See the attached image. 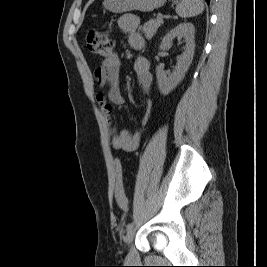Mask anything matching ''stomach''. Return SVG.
<instances>
[{
    "label": "stomach",
    "mask_w": 267,
    "mask_h": 267,
    "mask_svg": "<svg viewBox=\"0 0 267 267\" xmlns=\"http://www.w3.org/2000/svg\"><path fill=\"white\" fill-rule=\"evenodd\" d=\"M167 0H104L103 7L113 13H124L133 10L150 12L162 7Z\"/></svg>",
    "instance_id": "obj_1"
}]
</instances>
